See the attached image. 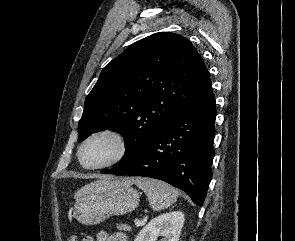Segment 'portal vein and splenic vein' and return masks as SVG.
I'll use <instances>...</instances> for the list:
<instances>
[{
	"label": "portal vein and splenic vein",
	"instance_id": "obj_1",
	"mask_svg": "<svg viewBox=\"0 0 295 241\" xmlns=\"http://www.w3.org/2000/svg\"><path fill=\"white\" fill-rule=\"evenodd\" d=\"M134 223H135L136 226H140L142 224V222L140 220H137V219L134 221Z\"/></svg>",
	"mask_w": 295,
	"mask_h": 241
}]
</instances>
